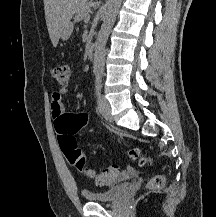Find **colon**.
I'll return each instance as SVG.
<instances>
[{
	"mask_svg": "<svg viewBox=\"0 0 216 217\" xmlns=\"http://www.w3.org/2000/svg\"><path fill=\"white\" fill-rule=\"evenodd\" d=\"M51 75L59 84L66 85L70 78V68L66 64L54 65L51 68ZM88 122L89 117L83 112L62 116L56 125L59 146L67 162L72 167L95 178L97 184L101 186L110 185L121 176V169L116 165H112L101 171L93 170L88 166L86 157L75 139V134L86 126ZM128 154L132 160L138 161L140 166H148L152 163L151 158L142 154L139 148H131ZM163 184L164 177L162 175H155L149 180L148 188L158 189Z\"/></svg>",
	"mask_w": 216,
	"mask_h": 217,
	"instance_id": "5ec220e1",
	"label": "colon"
}]
</instances>
